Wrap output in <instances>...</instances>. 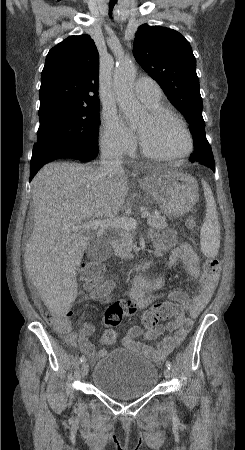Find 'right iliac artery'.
Returning <instances> with one entry per match:
<instances>
[{
  "label": "right iliac artery",
  "instance_id": "obj_1",
  "mask_svg": "<svg viewBox=\"0 0 245 450\" xmlns=\"http://www.w3.org/2000/svg\"><path fill=\"white\" fill-rule=\"evenodd\" d=\"M85 361V357H84V355H82L81 357H80V363H83Z\"/></svg>",
  "mask_w": 245,
  "mask_h": 450
}]
</instances>
